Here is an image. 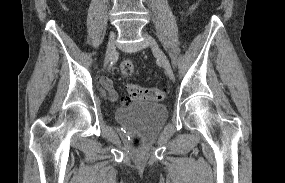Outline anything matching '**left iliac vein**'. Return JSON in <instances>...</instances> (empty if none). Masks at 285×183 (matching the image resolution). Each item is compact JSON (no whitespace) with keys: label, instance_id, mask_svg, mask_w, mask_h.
I'll return each mask as SVG.
<instances>
[{"label":"left iliac vein","instance_id":"4c4485c4","mask_svg":"<svg viewBox=\"0 0 285 183\" xmlns=\"http://www.w3.org/2000/svg\"><path fill=\"white\" fill-rule=\"evenodd\" d=\"M143 37H144L145 42L149 45L154 55L158 59L160 65L164 68L166 74L169 76L171 80H174V74H173L170 62L168 58L166 57V55L164 54V52L160 49L155 39L147 33H143Z\"/></svg>","mask_w":285,"mask_h":183}]
</instances>
